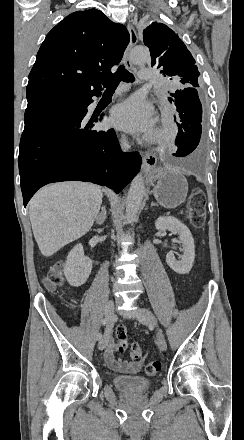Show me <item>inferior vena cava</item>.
<instances>
[{"instance_id": "602c4592", "label": "inferior vena cava", "mask_w": 244, "mask_h": 440, "mask_svg": "<svg viewBox=\"0 0 244 440\" xmlns=\"http://www.w3.org/2000/svg\"><path fill=\"white\" fill-rule=\"evenodd\" d=\"M121 146H122L124 152H126V150H128V148H129L128 144H126V140H122Z\"/></svg>"}]
</instances>
